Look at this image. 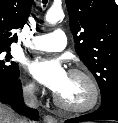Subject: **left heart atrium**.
Wrapping results in <instances>:
<instances>
[{
  "label": "left heart atrium",
  "mask_w": 118,
  "mask_h": 123,
  "mask_svg": "<svg viewBox=\"0 0 118 123\" xmlns=\"http://www.w3.org/2000/svg\"><path fill=\"white\" fill-rule=\"evenodd\" d=\"M28 71L40 84L55 93L65 86L68 79L60 58L36 59L28 64Z\"/></svg>",
  "instance_id": "39dd6f15"
}]
</instances>
